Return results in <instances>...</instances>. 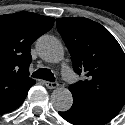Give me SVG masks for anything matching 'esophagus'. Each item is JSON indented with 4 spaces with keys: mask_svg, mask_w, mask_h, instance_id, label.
<instances>
[{
    "mask_svg": "<svg viewBox=\"0 0 125 125\" xmlns=\"http://www.w3.org/2000/svg\"><path fill=\"white\" fill-rule=\"evenodd\" d=\"M43 83L49 89H55V88L58 87V83L57 82L44 81Z\"/></svg>",
    "mask_w": 125,
    "mask_h": 125,
    "instance_id": "34e87169",
    "label": "esophagus"
}]
</instances>
